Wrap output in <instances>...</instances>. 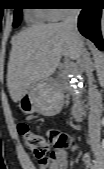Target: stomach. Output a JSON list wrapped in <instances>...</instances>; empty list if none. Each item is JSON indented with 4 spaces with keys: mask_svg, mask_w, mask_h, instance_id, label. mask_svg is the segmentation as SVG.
I'll return each instance as SVG.
<instances>
[{
    "mask_svg": "<svg viewBox=\"0 0 104 169\" xmlns=\"http://www.w3.org/2000/svg\"><path fill=\"white\" fill-rule=\"evenodd\" d=\"M62 106V90L56 83L48 80L32 83L18 101V107L25 115L38 112L52 116L59 113Z\"/></svg>",
    "mask_w": 104,
    "mask_h": 169,
    "instance_id": "obj_1",
    "label": "stomach"
}]
</instances>
